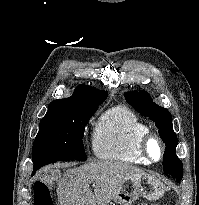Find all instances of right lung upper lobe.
Listing matches in <instances>:
<instances>
[{
	"label": "right lung upper lobe",
	"instance_id": "cb5924a9",
	"mask_svg": "<svg viewBox=\"0 0 199 205\" xmlns=\"http://www.w3.org/2000/svg\"><path fill=\"white\" fill-rule=\"evenodd\" d=\"M107 95L108 93L106 91H100L91 86L80 85L75 89V92L71 97L53 100L49 104L48 110L54 107L74 104L81 101L105 100Z\"/></svg>",
	"mask_w": 199,
	"mask_h": 205
}]
</instances>
